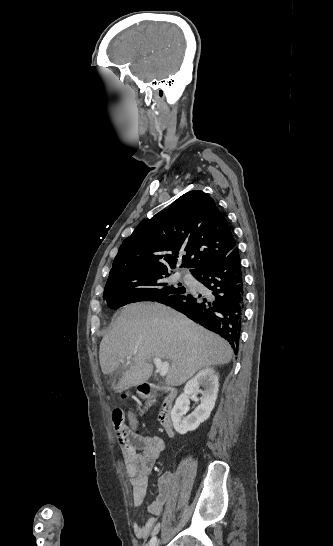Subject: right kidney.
Listing matches in <instances>:
<instances>
[{"label": "right kidney", "instance_id": "1", "mask_svg": "<svg viewBox=\"0 0 333 546\" xmlns=\"http://www.w3.org/2000/svg\"><path fill=\"white\" fill-rule=\"evenodd\" d=\"M218 374L213 368H205L187 382L184 392L179 395L171 411L173 427L179 434L196 430L206 421L215 406L219 387ZM203 387V390L199 388ZM201 393V404L187 417L184 414L189 409L191 394Z\"/></svg>", "mask_w": 333, "mask_h": 546}]
</instances>
